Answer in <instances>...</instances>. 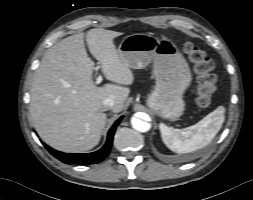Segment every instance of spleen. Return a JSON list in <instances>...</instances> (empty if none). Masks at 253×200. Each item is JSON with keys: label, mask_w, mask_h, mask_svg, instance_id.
Segmentation results:
<instances>
[{"label": "spleen", "mask_w": 253, "mask_h": 200, "mask_svg": "<svg viewBox=\"0 0 253 200\" xmlns=\"http://www.w3.org/2000/svg\"><path fill=\"white\" fill-rule=\"evenodd\" d=\"M225 108L219 106L198 123L183 130H175L159 124L165 145L175 153H189L207 146L221 129L225 119Z\"/></svg>", "instance_id": "spleen-1"}]
</instances>
